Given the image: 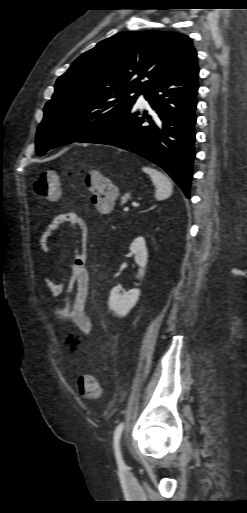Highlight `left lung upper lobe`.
<instances>
[{
  "instance_id": "1",
  "label": "left lung upper lobe",
  "mask_w": 247,
  "mask_h": 513,
  "mask_svg": "<svg viewBox=\"0 0 247 513\" xmlns=\"http://www.w3.org/2000/svg\"><path fill=\"white\" fill-rule=\"evenodd\" d=\"M196 56L192 40L173 32H121L99 42L58 78L37 129V155L102 129Z\"/></svg>"
}]
</instances>
